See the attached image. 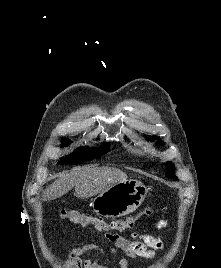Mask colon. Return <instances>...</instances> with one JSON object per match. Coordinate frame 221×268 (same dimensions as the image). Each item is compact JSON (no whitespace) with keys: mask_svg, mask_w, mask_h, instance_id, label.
<instances>
[{"mask_svg":"<svg viewBox=\"0 0 221 268\" xmlns=\"http://www.w3.org/2000/svg\"><path fill=\"white\" fill-rule=\"evenodd\" d=\"M152 213V208L147 207L140 213L129 216L123 219H115L107 221L101 217L91 215L89 213L81 212L75 209H63L59 211L61 218L70 221L73 224L80 225L82 227L93 228L103 232H124L131 230L142 216Z\"/></svg>","mask_w":221,"mask_h":268,"instance_id":"1","label":"colon"}]
</instances>
